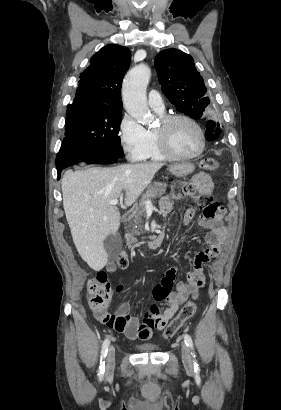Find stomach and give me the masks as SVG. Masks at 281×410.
<instances>
[{
	"label": "stomach",
	"instance_id": "obj_1",
	"mask_svg": "<svg viewBox=\"0 0 281 410\" xmlns=\"http://www.w3.org/2000/svg\"><path fill=\"white\" fill-rule=\"evenodd\" d=\"M195 166L192 163L174 164L169 167L170 172L176 177H184L192 173Z\"/></svg>",
	"mask_w": 281,
	"mask_h": 410
}]
</instances>
